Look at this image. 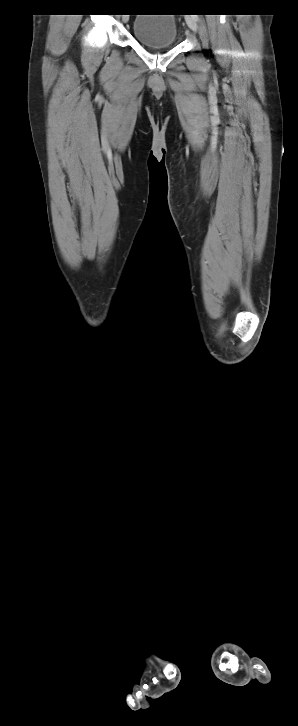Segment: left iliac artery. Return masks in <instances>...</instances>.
<instances>
[{"mask_svg":"<svg viewBox=\"0 0 298 726\" xmlns=\"http://www.w3.org/2000/svg\"><path fill=\"white\" fill-rule=\"evenodd\" d=\"M195 20H198V17L194 16Z\"/></svg>","mask_w":298,"mask_h":726,"instance_id":"left-iliac-artery-1","label":"left iliac artery"}]
</instances>
